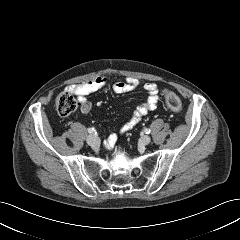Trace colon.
<instances>
[{"mask_svg":"<svg viewBox=\"0 0 240 240\" xmlns=\"http://www.w3.org/2000/svg\"><path fill=\"white\" fill-rule=\"evenodd\" d=\"M164 97L166 104L173 112H180L182 109V102L176 93L169 89L164 90ZM77 100L67 92H61L56 98V107L60 115L68 116L78 108Z\"/></svg>","mask_w":240,"mask_h":240,"instance_id":"1","label":"colon"}]
</instances>
